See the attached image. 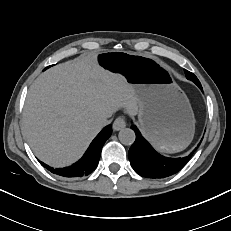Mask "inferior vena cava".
I'll use <instances>...</instances> for the list:
<instances>
[{"mask_svg":"<svg viewBox=\"0 0 231 231\" xmlns=\"http://www.w3.org/2000/svg\"><path fill=\"white\" fill-rule=\"evenodd\" d=\"M110 122H111V120H107V118H103L100 121V126L104 127V126L108 125Z\"/></svg>","mask_w":231,"mask_h":231,"instance_id":"1","label":"inferior vena cava"}]
</instances>
